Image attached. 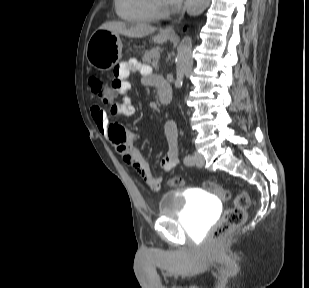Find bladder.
<instances>
[{"mask_svg":"<svg viewBox=\"0 0 309 288\" xmlns=\"http://www.w3.org/2000/svg\"><path fill=\"white\" fill-rule=\"evenodd\" d=\"M219 197L211 192L197 190H173L158 201V215L175 218L190 233H202L219 213Z\"/></svg>","mask_w":309,"mask_h":288,"instance_id":"obj_1","label":"bladder"}]
</instances>
